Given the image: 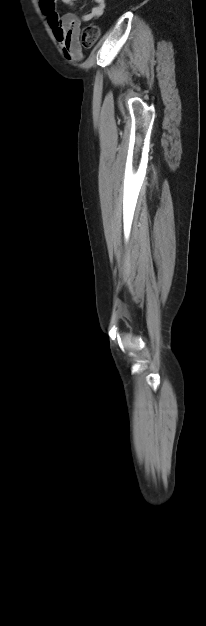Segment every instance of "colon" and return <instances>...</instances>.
Masks as SVG:
<instances>
[{
    "mask_svg": "<svg viewBox=\"0 0 206 626\" xmlns=\"http://www.w3.org/2000/svg\"><path fill=\"white\" fill-rule=\"evenodd\" d=\"M100 30L95 25L87 26L81 36L82 45L86 48L92 47L99 38Z\"/></svg>",
    "mask_w": 206,
    "mask_h": 626,
    "instance_id": "colon-1",
    "label": "colon"
}]
</instances>
